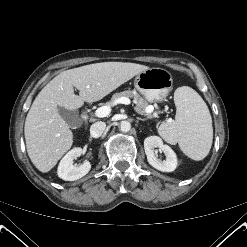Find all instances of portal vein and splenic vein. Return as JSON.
<instances>
[{"instance_id":"18ae733b","label":"portal vein and splenic vein","mask_w":247,"mask_h":247,"mask_svg":"<svg viewBox=\"0 0 247 247\" xmlns=\"http://www.w3.org/2000/svg\"><path fill=\"white\" fill-rule=\"evenodd\" d=\"M131 103L130 99L127 97H121L119 99L116 100L115 105L116 104H125V105H129ZM153 111V106H149V109L147 110V113H151ZM111 112V108L110 106H102L99 107L96 111H95V115L99 118H103V117H107Z\"/></svg>"}]
</instances>
